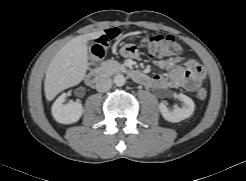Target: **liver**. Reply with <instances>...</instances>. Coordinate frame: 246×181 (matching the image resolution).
I'll list each match as a JSON object with an SVG mask.
<instances>
[{
  "label": "liver",
  "instance_id": "liver-1",
  "mask_svg": "<svg viewBox=\"0 0 246 181\" xmlns=\"http://www.w3.org/2000/svg\"><path fill=\"white\" fill-rule=\"evenodd\" d=\"M103 33L97 31L77 36L57 52L47 68L44 81L48 101L83 80L88 66L87 42L99 38Z\"/></svg>",
  "mask_w": 246,
  "mask_h": 181
}]
</instances>
